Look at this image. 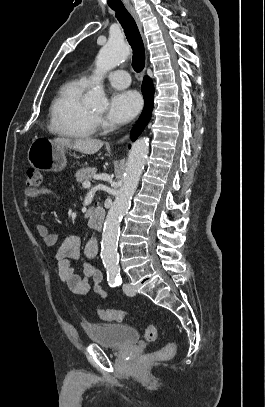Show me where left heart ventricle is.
Instances as JSON below:
<instances>
[{
  "mask_svg": "<svg viewBox=\"0 0 265 407\" xmlns=\"http://www.w3.org/2000/svg\"><path fill=\"white\" fill-rule=\"evenodd\" d=\"M95 113H97V114H101L102 113V110H93Z\"/></svg>",
  "mask_w": 265,
  "mask_h": 407,
  "instance_id": "left-heart-ventricle-1",
  "label": "left heart ventricle"
}]
</instances>
